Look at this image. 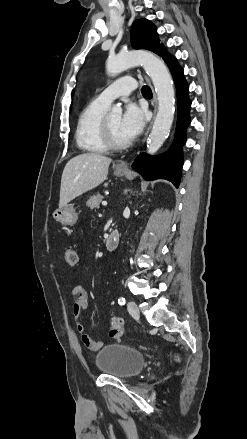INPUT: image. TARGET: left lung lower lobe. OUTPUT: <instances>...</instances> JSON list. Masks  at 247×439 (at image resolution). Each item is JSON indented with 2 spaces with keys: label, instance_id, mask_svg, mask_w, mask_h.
<instances>
[{
  "label": "left lung lower lobe",
  "instance_id": "0a47b994",
  "mask_svg": "<svg viewBox=\"0 0 247 439\" xmlns=\"http://www.w3.org/2000/svg\"><path fill=\"white\" fill-rule=\"evenodd\" d=\"M177 90L178 120L175 141L172 148L159 157L139 155L132 164V168L142 174L146 180L167 179L177 188L181 178L182 151L181 145L185 142V129L190 123L189 110L191 101L188 97L189 86L185 80L183 69L175 60L169 67Z\"/></svg>",
  "mask_w": 247,
  "mask_h": 439
}]
</instances>
